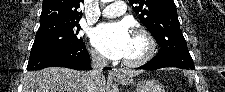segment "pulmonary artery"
I'll return each instance as SVG.
<instances>
[{
  "instance_id": "obj_1",
  "label": "pulmonary artery",
  "mask_w": 225,
  "mask_h": 92,
  "mask_svg": "<svg viewBox=\"0 0 225 92\" xmlns=\"http://www.w3.org/2000/svg\"><path fill=\"white\" fill-rule=\"evenodd\" d=\"M109 2L110 3L102 11L103 17L113 18L126 12L125 2L122 1H115V2L109 1Z\"/></svg>"
}]
</instances>
